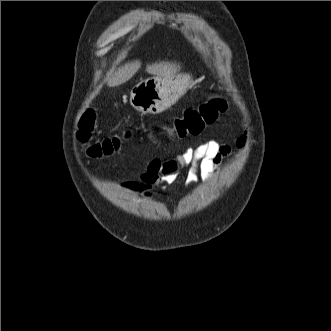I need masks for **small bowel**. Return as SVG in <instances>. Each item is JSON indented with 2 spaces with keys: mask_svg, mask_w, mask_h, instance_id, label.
Wrapping results in <instances>:
<instances>
[{
  "mask_svg": "<svg viewBox=\"0 0 331 331\" xmlns=\"http://www.w3.org/2000/svg\"><path fill=\"white\" fill-rule=\"evenodd\" d=\"M246 135L237 140V148L242 149L246 144ZM236 152L228 144H219L210 140L195 148H186L172 159L162 161L150 160L137 180L122 181V185L134 192L151 196L155 187L165 189L176 181L179 171L187 168L186 184L192 186L198 179L210 181L221 171V163L225 158L235 157Z\"/></svg>",
  "mask_w": 331,
  "mask_h": 331,
  "instance_id": "obj_1",
  "label": "small bowel"
}]
</instances>
